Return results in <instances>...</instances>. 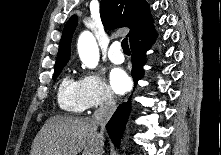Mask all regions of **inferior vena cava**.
<instances>
[{
    "mask_svg": "<svg viewBox=\"0 0 221 155\" xmlns=\"http://www.w3.org/2000/svg\"><path fill=\"white\" fill-rule=\"evenodd\" d=\"M115 110L116 102L114 99V95L110 90H107L103 98V103L92 116V120L101 127L100 133L98 134L100 137L103 136L105 125L109 121ZM100 155H103V151L100 153Z\"/></svg>",
    "mask_w": 221,
    "mask_h": 155,
    "instance_id": "inferior-vena-cava-1",
    "label": "inferior vena cava"
}]
</instances>
